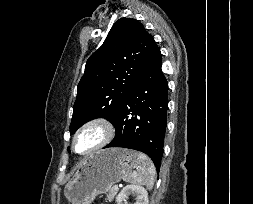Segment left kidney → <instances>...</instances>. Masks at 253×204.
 Returning a JSON list of instances; mask_svg holds the SVG:
<instances>
[{
	"mask_svg": "<svg viewBox=\"0 0 253 204\" xmlns=\"http://www.w3.org/2000/svg\"><path fill=\"white\" fill-rule=\"evenodd\" d=\"M129 196H134L136 202L134 204H149L148 192L140 185H127L116 197L117 204H122V201Z\"/></svg>",
	"mask_w": 253,
	"mask_h": 204,
	"instance_id": "5707ae66",
	"label": "left kidney"
}]
</instances>
